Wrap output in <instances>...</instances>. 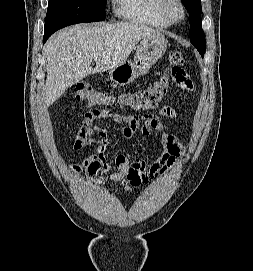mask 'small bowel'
Returning <instances> with one entry per match:
<instances>
[{"mask_svg":"<svg viewBox=\"0 0 253 271\" xmlns=\"http://www.w3.org/2000/svg\"><path fill=\"white\" fill-rule=\"evenodd\" d=\"M165 117L176 118V111L170 106H165L159 110L158 114L146 116L143 120L123 113L86 112L73 147L76 151L88 148H92V151L88 152L80 161L72 163V170L77 173L84 170L92 183H102V179L97 176L109 173L112 168V164L104 154L111 139L106 130L99 128L97 123L103 119H111L115 124L120 125L122 136L128 140L136 134L158 135L163 153L150 166H147L143 160L130 159L125 154H118L114 161L117 171L109 175L110 180L122 183L125 190L130 192L144 182L164 176L174 167L184 151L178 135L163 122L162 119ZM96 132L99 133V137L96 144L93 145L92 138Z\"/></svg>","mask_w":253,"mask_h":271,"instance_id":"obj_1","label":"small bowel"}]
</instances>
